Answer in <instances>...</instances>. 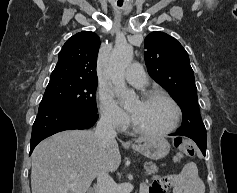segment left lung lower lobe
I'll return each instance as SVG.
<instances>
[{
	"mask_svg": "<svg viewBox=\"0 0 237 193\" xmlns=\"http://www.w3.org/2000/svg\"><path fill=\"white\" fill-rule=\"evenodd\" d=\"M172 135H180L178 134L177 132L172 134ZM190 138V137H189ZM192 140H194L196 142V144L198 145V147L200 148V150L202 151V153L205 155L206 153V142H201V141H198V140H195L193 138H191Z\"/></svg>",
	"mask_w": 237,
	"mask_h": 193,
	"instance_id": "0a47b994",
	"label": "left lung lower lobe"
}]
</instances>
